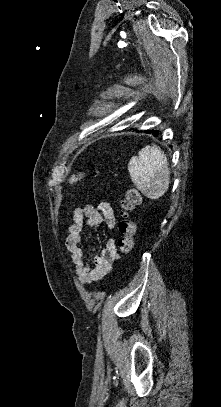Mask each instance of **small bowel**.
I'll return each instance as SVG.
<instances>
[{"instance_id":"obj_1","label":"small bowel","mask_w":221,"mask_h":407,"mask_svg":"<svg viewBox=\"0 0 221 407\" xmlns=\"http://www.w3.org/2000/svg\"><path fill=\"white\" fill-rule=\"evenodd\" d=\"M72 216L73 222L67 227L65 246L74 264L76 280L82 284H91L101 280L110 272L119 253L114 239L110 238L105 249L95 256L91 265L82 247L81 233L101 223H104L108 229H114L117 220L115 209L109 202L102 201L97 207L90 204L74 207ZM111 258L114 260H110Z\"/></svg>"}]
</instances>
